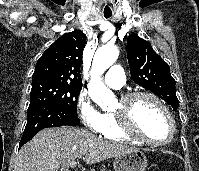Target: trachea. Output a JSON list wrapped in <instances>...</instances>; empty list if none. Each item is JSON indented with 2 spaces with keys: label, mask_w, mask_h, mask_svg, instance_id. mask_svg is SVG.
Masks as SVG:
<instances>
[{
  "label": "trachea",
  "mask_w": 199,
  "mask_h": 171,
  "mask_svg": "<svg viewBox=\"0 0 199 171\" xmlns=\"http://www.w3.org/2000/svg\"><path fill=\"white\" fill-rule=\"evenodd\" d=\"M105 18H110L112 16V12H104Z\"/></svg>",
  "instance_id": "obj_1"
}]
</instances>
